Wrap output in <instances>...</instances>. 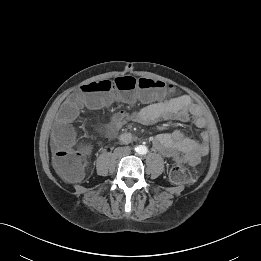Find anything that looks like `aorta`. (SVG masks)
<instances>
[{
	"mask_svg": "<svg viewBox=\"0 0 261 261\" xmlns=\"http://www.w3.org/2000/svg\"><path fill=\"white\" fill-rule=\"evenodd\" d=\"M135 150H136V152H137L138 154H142V155H143V154H146L147 151H148L147 147L144 146V145L138 146L137 148H135Z\"/></svg>",
	"mask_w": 261,
	"mask_h": 261,
	"instance_id": "obj_1",
	"label": "aorta"
}]
</instances>
